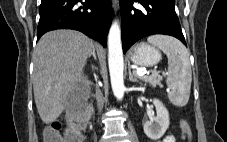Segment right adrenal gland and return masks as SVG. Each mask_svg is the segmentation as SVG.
<instances>
[{
    "label": "right adrenal gland",
    "instance_id": "1",
    "mask_svg": "<svg viewBox=\"0 0 227 142\" xmlns=\"http://www.w3.org/2000/svg\"><path fill=\"white\" fill-rule=\"evenodd\" d=\"M92 57L96 60L97 59V56H96V53H95V50L93 51L92 53Z\"/></svg>",
    "mask_w": 227,
    "mask_h": 142
}]
</instances>
